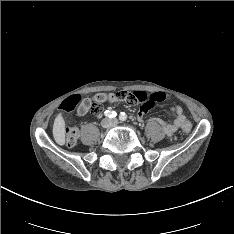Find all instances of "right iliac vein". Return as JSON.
Instances as JSON below:
<instances>
[{
    "label": "right iliac vein",
    "mask_w": 234,
    "mask_h": 234,
    "mask_svg": "<svg viewBox=\"0 0 234 234\" xmlns=\"http://www.w3.org/2000/svg\"><path fill=\"white\" fill-rule=\"evenodd\" d=\"M103 126H104V127H107V126H108V121H107V120H105V121L103 122Z\"/></svg>",
    "instance_id": "63e3f726"
}]
</instances>
